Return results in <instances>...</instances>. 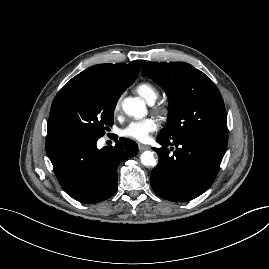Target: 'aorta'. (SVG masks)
Instances as JSON below:
<instances>
[{
  "label": "aorta",
  "instance_id": "obj_1",
  "mask_svg": "<svg viewBox=\"0 0 269 269\" xmlns=\"http://www.w3.org/2000/svg\"><path fill=\"white\" fill-rule=\"evenodd\" d=\"M122 108L127 115L135 118H143L147 114L145 103L140 98H125L122 103ZM141 163L147 167H155L157 165V158L152 151H144L140 155Z\"/></svg>",
  "mask_w": 269,
  "mask_h": 269
}]
</instances>
